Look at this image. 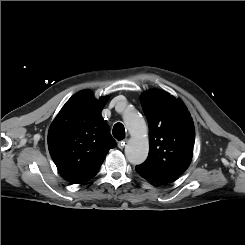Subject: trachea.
<instances>
[{"instance_id":"3493384b","label":"trachea","mask_w":245,"mask_h":245,"mask_svg":"<svg viewBox=\"0 0 245 245\" xmlns=\"http://www.w3.org/2000/svg\"><path fill=\"white\" fill-rule=\"evenodd\" d=\"M113 136L117 139V140H122L125 138V128L123 126L122 123L118 122L114 125L113 127Z\"/></svg>"}]
</instances>
